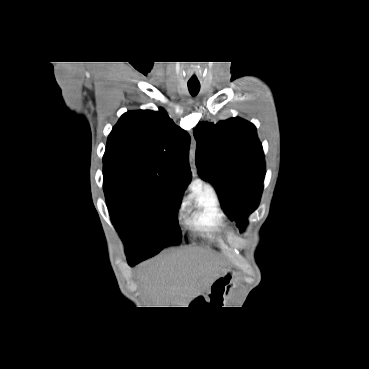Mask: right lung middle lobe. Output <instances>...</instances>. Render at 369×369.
<instances>
[{"instance_id":"obj_1","label":"right lung middle lobe","mask_w":369,"mask_h":369,"mask_svg":"<svg viewBox=\"0 0 369 369\" xmlns=\"http://www.w3.org/2000/svg\"><path fill=\"white\" fill-rule=\"evenodd\" d=\"M103 176L109 213L124 241L128 261L140 262L181 242L180 202L170 193L149 189L129 176Z\"/></svg>"}]
</instances>
